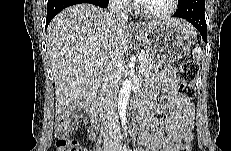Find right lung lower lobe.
<instances>
[{"mask_svg":"<svg viewBox=\"0 0 231 151\" xmlns=\"http://www.w3.org/2000/svg\"><path fill=\"white\" fill-rule=\"evenodd\" d=\"M80 3H91L99 7H107L109 0H48L46 28L52 18L66 7Z\"/></svg>","mask_w":231,"mask_h":151,"instance_id":"1","label":"right lung lower lobe"}]
</instances>
